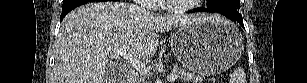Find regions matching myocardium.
Wrapping results in <instances>:
<instances>
[{
	"instance_id": "myocardium-1",
	"label": "myocardium",
	"mask_w": 307,
	"mask_h": 83,
	"mask_svg": "<svg viewBox=\"0 0 307 83\" xmlns=\"http://www.w3.org/2000/svg\"><path fill=\"white\" fill-rule=\"evenodd\" d=\"M201 0H192L189 3H171L170 1H163L161 8L170 14H182L189 12L194 6L193 4L199 3Z\"/></svg>"
}]
</instances>
